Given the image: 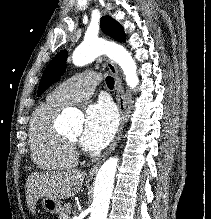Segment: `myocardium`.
<instances>
[{
    "mask_svg": "<svg viewBox=\"0 0 211 219\" xmlns=\"http://www.w3.org/2000/svg\"><path fill=\"white\" fill-rule=\"evenodd\" d=\"M69 148L71 149V151L76 155L78 153L79 150V146L77 143V140H74L72 138H70L69 136H64Z\"/></svg>",
    "mask_w": 211,
    "mask_h": 219,
    "instance_id": "1",
    "label": "myocardium"
}]
</instances>
